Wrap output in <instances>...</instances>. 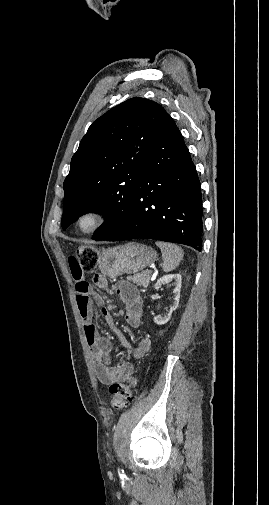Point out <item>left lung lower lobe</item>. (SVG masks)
Listing matches in <instances>:
<instances>
[{"label":"left lung lower lobe","mask_w":269,"mask_h":505,"mask_svg":"<svg viewBox=\"0 0 269 505\" xmlns=\"http://www.w3.org/2000/svg\"><path fill=\"white\" fill-rule=\"evenodd\" d=\"M202 230V196L196 168L167 113L145 157L130 216L110 235L95 240L149 238L201 251Z\"/></svg>","instance_id":"1"}]
</instances>
